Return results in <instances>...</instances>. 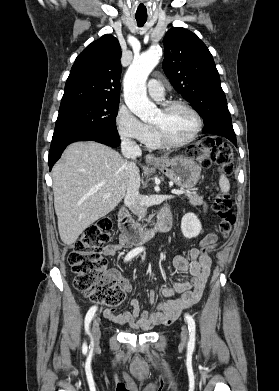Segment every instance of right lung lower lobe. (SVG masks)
Instances as JSON below:
<instances>
[{
    "mask_svg": "<svg viewBox=\"0 0 279 391\" xmlns=\"http://www.w3.org/2000/svg\"><path fill=\"white\" fill-rule=\"evenodd\" d=\"M82 140H93L111 147H117L120 144L117 128L113 127L89 129L71 136L52 140L48 161L50 170L70 143Z\"/></svg>",
    "mask_w": 279,
    "mask_h": 391,
    "instance_id": "obj_1",
    "label": "right lung lower lobe"
}]
</instances>
